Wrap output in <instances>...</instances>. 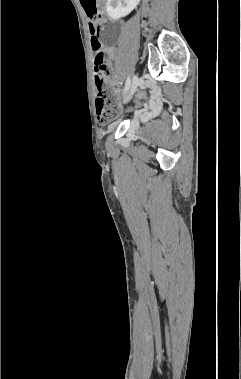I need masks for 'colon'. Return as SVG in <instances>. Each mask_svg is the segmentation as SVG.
<instances>
[{"instance_id": "colon-1", "label": "colon", "mask_w": 241, "mask_h": 379, "mask_svg": "<svg viewBox=\"0 0 241 379\" xmlns=\"http://www.w3.org/2000/svg\"><path fill=\"white\" fill-rule=\"evenodd\" d=\"M89 19L91 45L95 52V85L97 90L96 109L101 123L112 121L118 114L119 100L107 86L105 78L107 67L104 63L105 53L98 38V20L102 15L100 0H80Z\"/></svg>"}]
</instances>
